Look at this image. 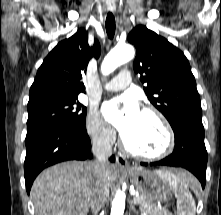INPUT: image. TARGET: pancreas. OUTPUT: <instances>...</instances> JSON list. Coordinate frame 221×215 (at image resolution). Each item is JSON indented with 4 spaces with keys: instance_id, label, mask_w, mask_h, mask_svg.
Returning <instances> with one entry per match:
<instances>
[{
    "instance_id": "pancreas-1",
    "label": "pancreas",
    "mask_w": 221,
    "mask_h": 215,
    "mask_svg": "<svg viewBox=\"0 0 221 215\" xmlns=\"http://www.w3.org/2000/svg\"><path fill=\"white\" fill-rule=\"evenodd\" d=\"M136 198L140 199L138 203L140 211L146 212L148 215H172L165 210H160L154 203L148 201L143 196H138Z\"/></svg>"
}]
</instances>
